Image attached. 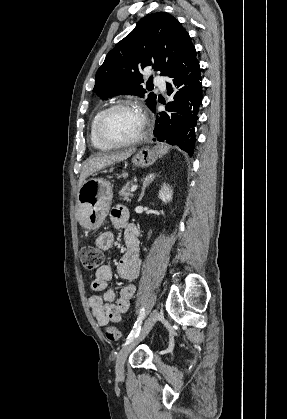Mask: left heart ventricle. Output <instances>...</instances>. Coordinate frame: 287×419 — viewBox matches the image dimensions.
I'll list each match as a JSON object with an SVG mask.
<instances>
[{
  "mask_svg": "<svg viewBox=\"0 0 287 419\" xmlns=\"http://www.w3.org/2000/svg\"><path fill=\"white\" fill-rule=\"evenodd\" d=\"M142 119L135 109L123 108L113 111L105 120L103 132L113 140H128L141 130Z\"/></svg>",
  "mask_w": 287,
  "mask_h": 419,
  "instance_id": "1",
  "label": "left heart ventricle"
}]
</instances>
